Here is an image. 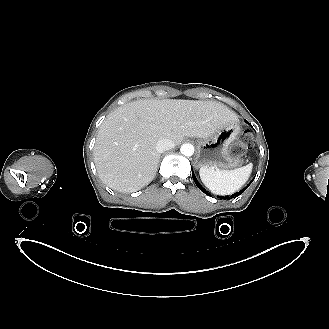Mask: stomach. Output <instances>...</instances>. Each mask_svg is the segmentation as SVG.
<instances>
[{
	"instance_id": "obj_1",
	"label": "stomach",
	"mask_w": 329,
	"mask_h": 329,
	"mask_svg": "<svg viewBox=\"0 0 329 329\" xmlns=\"http://www.w3.org/2000/svg\"><path fill=\"white\" fill-rule=\"evenodd\" d=\"M239 120L223 125L210 138L199 142V150L195 166L214 170H232L242 166L244 159L241 154L232 153V148L239 147Z\"/></svg>"
}]
</instances>
